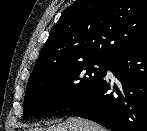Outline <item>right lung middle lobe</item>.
I'll use <instances>...</instances> for the list:
<instances>
[{
    "mask_svg": "<svg viewBox=\"0 0 147 131\" xmlns=\"http://www.w3.org/2000/svg\"><path fill=\"white\" fill-rule=\"evenodd\" d=\"M109 63L106 59H87L30 77L23 116L60 111L76 104L103 79Z\"/></svg>",
    "mask_w": 147,
    "mask_h": 131,
    "instance_id": "right-lung-middle-lobe-1",
    "label": "right lung middle lobe"
}]
</instances>
